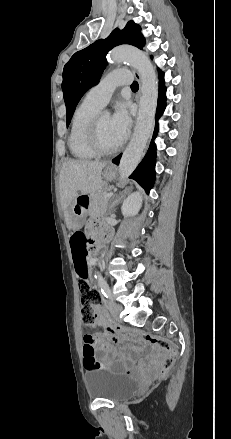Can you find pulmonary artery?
Here are the masks:
<instances>
[{
  "label": "pulmonary artery",
  "mask_w": 231,
  "mask_h": 439,
  "mask_svg": "<svg viewBox=\"0 0 231 439\" xmlns=\"http://www.w3.org/2000/svg\"><path fill=\"white\" fill-rule=\"evenodd\" d=\"M131 80L132 74L128 70L112 71L87 92L85 99L103 107L108 103L112 93L118 86L129 84Z\"/></svg>",
  "instance_id": "1"
}]
</instances>
